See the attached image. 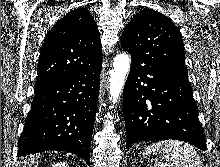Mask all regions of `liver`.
Returning a JSON list of instances; mask_svg holds the SVG:
<instances>
[{
  "label": "liver",
  "mask_w": 220,
  "mask_h": 167,
  "mask_svg": "<svg viewBox=\"0 0 220 167\" xmlns=\"http://www.w3.org/2000/svg\"><path fill=\"white\" fill-rule=\"evenodd\" d=\"M39 163V156L30 155L28 158L23 159L19 167H37Z\"/></svg>",
  "instance_id": "obj_1"
}]
</instances>
